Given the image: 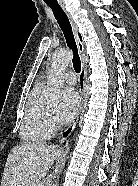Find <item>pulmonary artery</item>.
I'll list each match as a JSON object with an SVG mask.
<instances>
[{"label": "pulmonary artery", "instance_id": "1", "mask_svg": "<svg viewBox=\"0 0 138 186\" xmlns=\"http://www.w3.org/2000/svg\"><path fill=\"white\" fill-rule=\"evenodd\" d=\"M63 81L69 85H74L76 83V76L73 72H65L62 76Z\"/></svg>", "mask_w": 138, "mask_h": 186}]
</instances>
